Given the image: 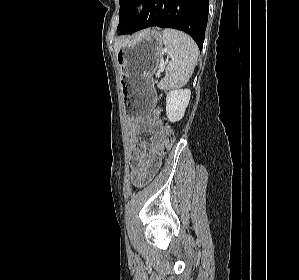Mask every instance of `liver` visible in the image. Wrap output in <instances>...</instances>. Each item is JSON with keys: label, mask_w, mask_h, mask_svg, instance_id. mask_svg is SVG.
I'll use <instances>...</instances> for the list:
<instances>
[{"label": "liver", "mask_w": 299, "mask_h": 280, "mask_svg": "<svg viewBox=\"0 0 299 280\" xmlns=\"http://www.w3.org/2000/svg\"><path fill=\"white\" fill-rule=\"evenodd\" d=\"M126 43H128V41L125 40H118L115 42L114 44V48H115V52L117 53L119 51V49L125 45Z\"/></svg>", "instance_id": "obj_1"}]
</instances>
